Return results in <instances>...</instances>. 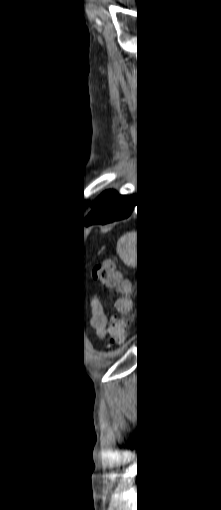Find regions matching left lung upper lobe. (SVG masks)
<instances>
[{"label": "left lung upper lobe", "instance_id": "obj_1", "mask_svg": "<svg viewBox=\"0 0 221 510\" xmlns=\"http://www.w3.org/2000/svg\"><path fill=\"white\" fill-rule=\"evenodd\" d=\"M118 196V193L113 190H107L97 196L92 204H91V211H97L99 209L104 208L108 204H110L116 197Z\"/></svg>", "mask_w": 221, "mask_h": 510}]
</instances>
